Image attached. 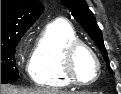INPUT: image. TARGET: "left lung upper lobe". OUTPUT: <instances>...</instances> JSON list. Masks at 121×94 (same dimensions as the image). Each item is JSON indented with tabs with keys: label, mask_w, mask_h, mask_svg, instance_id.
<instances>
[{
	"label": "left lung upper lobe",
	"mask_w": 121,
	"mask_h": 94,
	"mask_svg": "<svg viewBox=\"0 0 121 94\" xmlns=\"http://www.w3.org/2000/svg\"><path fill=\"white\" fill-rule=\"evenodd\" d=\"M61 3L66 7L72 16L83 26L85 31L94 40L104 59L107 61V66L111 74H114L109 65L107 51L104 46L103 36L100 28L96 23L93 13L88 8L85 0H61Z\"/></svg>",
	"instance_id": "5c2ea615"
}]
</instances>
